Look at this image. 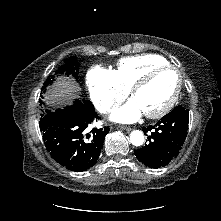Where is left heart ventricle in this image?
<instances>
[{
	"mask_svg": "<svg viewBox=\"0 0 221 221\" xmlns=\"http://www.w3.org/2000/svg\"><path fill=\"white\" fill-rule=\"evenodd\" d=\"M176 72L165 70L157 73L152 80L134 96L144 113L162 108L172 97L177 87Z\"/></svg>",
	"mask_w": 221,
	"mask_h": 221,
	"instance_id": "left-heart-ventricle-1",
	"label": "left heart ventricle"
}]
</instances>
